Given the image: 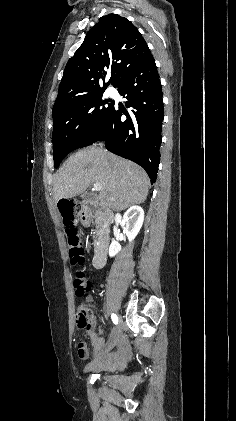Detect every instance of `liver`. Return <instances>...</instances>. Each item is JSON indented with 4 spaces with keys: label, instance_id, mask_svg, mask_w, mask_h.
I'll use <instances>...</instances> for the list:
<instances>
[{
    "label": "liver",
    "instance_id": "liver-1",
    "mask_svg": "<svg viewBox=\"0 0 236 421\" xmlns=\"http://www.w3.org/2000/svg\"><path fill=\"white\" fill-rule=\"evenodd\" d=\"M95 182L102 186L98 194L101 206L112 211L144 202L150 186V178L139 164L89 146L71 154L55 172L53 196L55 200L72 198Z\"/></svg>",
    "mask_w": 236,
    "mask_h": 421
}]
</instances>
